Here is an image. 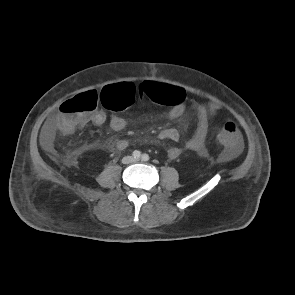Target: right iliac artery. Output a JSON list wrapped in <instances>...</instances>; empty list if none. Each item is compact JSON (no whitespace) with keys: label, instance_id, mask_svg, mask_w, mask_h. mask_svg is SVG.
<instances>
[{"label":"right iliac artery","instance_id":"right-iliac-artery-1","mask_svg":"<svg viewBox=\"0 0 295 295\" xmlns=\"http://www.w3.org/2000/svg\"><path fill=\"white\" fill-rule=\"evenodd\" d=\"M133 157H134L135 159H139V158L141 157V152L138 151V150H135V151L133 152Z\"/></svg>","mask_w":295,"mask_h":295}]
</instances>
